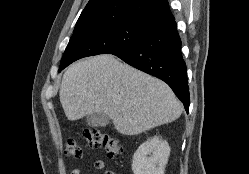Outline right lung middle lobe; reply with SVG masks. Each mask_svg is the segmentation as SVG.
<instances>
[{
    "label": "right lung middle lobe",
    "instance_id": "dd1d6c3e",
    "mask_svg": "<svg viewBox=\"0 0 249 174\" xmlns=\"http://www.w3.org/2000/svg\"><path fill=\"white\" fill-rule=\"evenodd\" d=\"M147 24L125 21L74 32L63 54L58 72L87 56L113 54L134 45L143 36Z\"/></svg>",
    "mask_w": 249,
    "mask_h": 174
}]
</instances>
